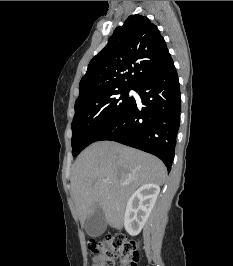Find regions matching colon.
<instances>
[{"label":"colon","instance_id":"obj_1","mask_svg":"<svg viewBox=\"0 0 233 266\" xmlns=\"http://www.w3.org/2000/svg\"><path fill=\"white\" fill-rule=\"evenodd\" d=\"M89 247L99 256V266H114L116 257L121 259V266H138L136 242L127 240L123 235H109L101 240H91Z\"/></svg>","mask_w":233,"mask_h":266}]
</instances>
